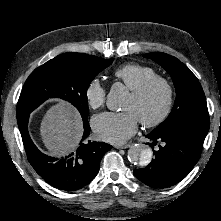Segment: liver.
Masks as SVG:
<instances>
[{
  "instance_id": "liver-1",
  "label": "liver",
  "mask_w": 221,
  "mask_h": 221,
  "mask_svg": "<svg viewBox=\"0 0 221 221\" xmlns=\"http://www.w3.org/2000/svg\"><path fill=\"white\" fill-rule=\"evenodd\" d=\"M82 133L80 114L65 101L50 107L40 125L43 143L52 156H65L71 153L77 147Z\"/></svg>"
}]
</instances>
